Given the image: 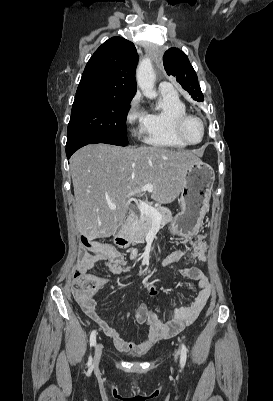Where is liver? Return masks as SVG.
<instances>
[{"label": "liver", "instance_id": "obj_1", "mask_svg": "<svg viewBox=\"0 0 273 401\" xmlns=\"http://www.w3.org/2000/svg\"><path fill=\"white\" fill-rule=\"evenodd\" d=\"M193 162H200L193 150L113 144L79 148L70 158L79 233L87 239L115 235L125 219L130 192L144 184H153V201L172 203L182 190L184 170Z\"/></svg>", "mask_w": 273, "mask_h": 401}]
</instances>
